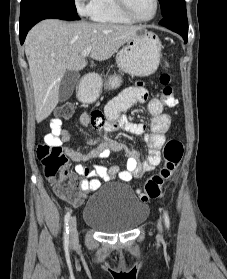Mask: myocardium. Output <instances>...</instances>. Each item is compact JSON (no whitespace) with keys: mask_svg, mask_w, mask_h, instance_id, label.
Masks as SVG:
<instances>
[{"mask_svg":"<svg viewBox=\"0 0 227 279\" xmlns=\"http://www.w3.org/2000/svg\"><path fill=\"white\" fill-rule=\"evenodd\" d=\"M115 3L117 5L118 9L126 17H128L129 19H131L134 22H148V21H151V20H153L156 17V15L158 13V10H159V0H154V10H153V13L149 17L139 18V17H136L133 14V12L131 11L130 6H129L127 0H115Z\"/></svg>","mask_w":227,"mask_h":279,"instance_id":"obj_1","label":"myocardium"}]
</instances>
